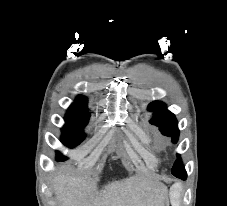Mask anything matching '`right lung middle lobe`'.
I'll use <instances>...</instances> for the list:
<instances>
[{"label": "right lung middle lobe", "mask_w": 227, "mask_h": 206, "mask_svg": "<svg viewBox=\"0 0 227 206\" xmlns=\"http://www.w3.org/2000/svg\"><path fill=\"white\" fill-rule=\"evenodd\" d=\"M86 106V100H76L74 104L70 106L66 115V125L62 128V142L67 147H74L78 145L84 138L85 134L82 132V128L88 123L90 114L84 112L82 108ZM57 159L66 160L61 154L57 153Z\"/></svg>", "instance_id": "dd1d6c3e"}]
</instances>
